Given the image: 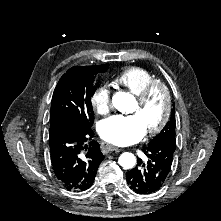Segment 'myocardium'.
I'll return each instance as SVG.
<instances>
[{
    "label": "myocardium",
    "mask_w": 221,
    "mask_h": 221,
    "mask_svg": "<svg viewBox=\"0 0 221 221\" xmlns=\"http://www.w3.org/2000/svg\"><path fill=\"white\" fill-rule=\"evenodd\" d=\"M161 91L164 94L165 98V108H164V113L160 119V121L155 125L146 130V134L149 136L155 135L159 132H161L165 126L167 125L171 112H172V99H171V93L169 91L168 86L159 81L156 80L152 83H150L144 90L143 92L137 96V103L140 108H145L149 100L151 99L152 95L157 92Z\"/></svg>",
    "instance_id": "1"
}]
</instances>
